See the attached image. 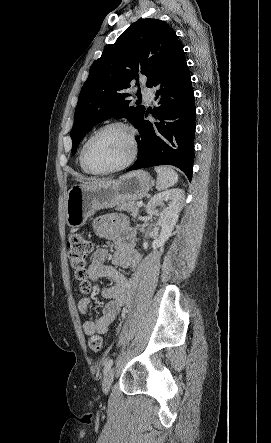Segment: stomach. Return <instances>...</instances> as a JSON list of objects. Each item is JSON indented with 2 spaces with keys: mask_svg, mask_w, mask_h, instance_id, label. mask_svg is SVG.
Masks as SVG:
<instances>
[{
  "mask_svg": "<svg viewBox=\"0 0 271 443\" xmlns=\"http://www.w3.org/2000/svg\"><path fill=\"white\" fill-rule=\"evenodd\" d=\"M153 184L148 172L136 170L118 180L73 186L66 198V223L69 227H80L101 208L142 200Z\"/></svg>",
  "mask_w": 271,
  "mask_h": 443,
  "instance_id": "1",
  "label": "stomach"
}]
</instances>
